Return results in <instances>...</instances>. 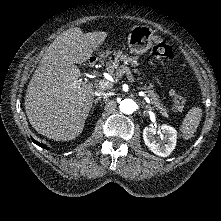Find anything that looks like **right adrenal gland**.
I'll return each mask as SVG.
<instances>
[{
  "mask_svg": "<svg viewBox=\"0 0 221 221\" xmlns=\"http://www.w3.org/2000/svg\"><path fill=\"white\" fill-rule=\"evenodd\" d=\"M99 101V98H97L95 101H94V104L96 105Z\"/></svg>",
  "mask_w": 221,
  "mask_h": 221,
  "instance_id": "1",
  "label": "right adrenal gland"
}]
</instances>
